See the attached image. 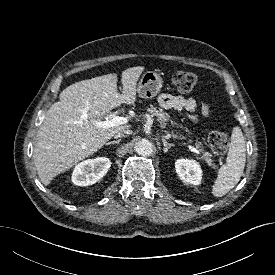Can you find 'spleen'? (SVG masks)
<instances>
[{"label":"spleen","instance_id":"obj_1","mask_svg":"<svg viewBox=\"0 0 275 275\" xmlns=\"http://www.w3.org/2000/svg\"><path fill=\"white\" fill-rule=\"evenodd\" d=\"M245 162V139L241 129L236 126L232 130L226 163L220 167L212 188L215 197L224 196L236 186L243 174Z\"/></svg>","mask_w":275,"mask_h":275}]
</instances>
